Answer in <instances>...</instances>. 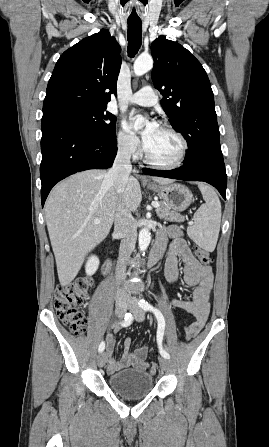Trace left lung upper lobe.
Instances as JSON below:
<instances>
[{
	"label": "left lung upper lobe",
	"mask_w": 269,
	"mask_h": 447,
	"mask_svg": "<svg viewBox=\"0 0 269 447\" xmlns=\"http://www.w3.org/2000/svg\"><path fill=\"white\" fill-rule=\"evenodd\" d=\"M152 80L172 127L187 141L184 163L221 153L214 96L200 62L180 44L157 38L151 45Z\"/></svg>",
	"instance_id": "left-lung-upper-lobe-1"
}]
</instances>
